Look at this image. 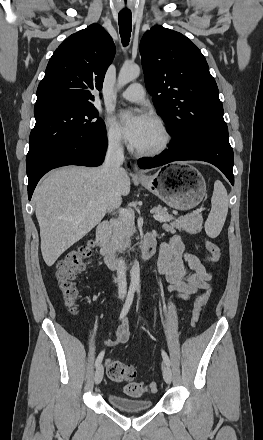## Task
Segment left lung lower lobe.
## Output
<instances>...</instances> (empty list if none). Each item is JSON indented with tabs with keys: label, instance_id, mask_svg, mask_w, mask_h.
I'll use <instances>...</instances> for the list:
<instances>
[{
	"label": "left lung lower lobe",
	"instance_id": "left-lung-lower-lobe-1",
	"mask_svg": "<svg viewBox=\"0 0 263 440\" xmlns=\"http://www.w3.org/2000/svg\"><path fill=\"white\" fill-rule=\"evenodd\" d=\"M200 160L209 162L218 167L234 185L233 150L229 143L228 134L216 135L208 138L201 145L190 152H183L174 143L169 145L161 155L154 158H142L138 160L141 169H150L165 165L173 161Z\"/></svg>",
	"mask_w": 263,
	"mask_h": 440
}]
</instances>
